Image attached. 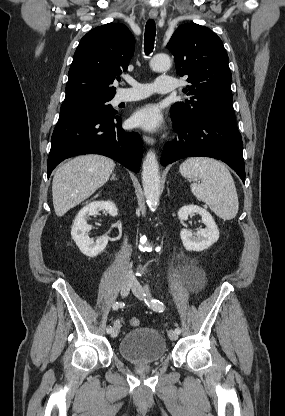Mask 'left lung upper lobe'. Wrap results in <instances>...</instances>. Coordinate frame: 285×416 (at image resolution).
Returning <instances> with one entry per match:
<instances>
[{"label":"left lung upper lobe","instance_id":"5c2ea615","mask_svg":"<svg viewBox=\"0 0 285 416\" xmlns=\"http://www.w3.org/2000/svg\"><path fill=\"white\" fill-rule=\"evenodd\" d=\"M167 47L174 55L177 74L188 76L183 89L188 100L175 103L170 114L176 125L189 124L208 115H234L231 72L221 39L209 28L180 25Z\"/></svg>","mask_w":285,"mask_h":416}]
</instances>
